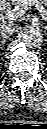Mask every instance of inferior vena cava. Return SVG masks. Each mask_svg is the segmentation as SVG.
Returning <instances> with one entry per match:
<instances>
[{
  "label": "inferior vena cava",
  "instance_id": "obj_1",
  "mask_svg": "<svg viewBox=\"0 0 47 129\" xmlns=\"http://www.w3.org/2000/svg\"><path fill=\"white\" fill-rule=\"evenodd\" d=\"M16 29V24L12 20H2L0 23V31L12 34Z\"/></svg>",
  "mask_w": 47,
  "mask_h": 129
}]
</instances>
